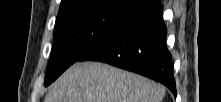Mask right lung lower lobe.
<instances>
[{"label": "right lung lower lobe", "instance_id": "1", "mask_svg": "<svg viewBox=\"0 0 221 102\" xmlns=\"http://www.w3.org/2000/svg\"><path fill=\"white\" fill-rule=\"evenodd\" d=\"M161 10L162 5L156 0L94 45L79 61H101L144 75L164 84L176 97Z\"/></svg>", "mask_w": 221, "mask_h": 102}]
</instances>
